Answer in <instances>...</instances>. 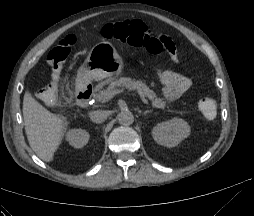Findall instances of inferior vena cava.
<instances>
[{"mask_svg": "<svg viewBox=\"0 0 254 216\" xmlns=\"http://www.w3.org/2000/svg\"><path fill=\"white\" fill-rule=\"evenodd\" d=\"M90 119L94 123H102L104 122L107 117H108V112L107 111H102V110H97V111H92L90 112Z\"/></svg>", "mask_w": 254, "mask_h": 216, "instance_id": "obj_1", "label": "inferior vena cava"}]
</instances>
